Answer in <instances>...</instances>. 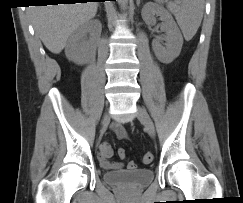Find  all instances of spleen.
Returning a JSON list of instances; mask_svg holds the SVG:
<instances>
[{
    "label": "spleen",
    "instance_id": "spleen-1",
    "mask_svg": "<svg viewBox=\"0 0 243 203\" xmlns=\"http://www.w3.org/2000/svg\"><path fill=\"white\" fill-rule=\"evenodd\" d=\"M156 1L163 3L164 0ZM167 8L175 16L184 38L191 40L203 18L204 0H176L169 2Z\"/></svg>",
    "mask_w": 243,
    "mask_h": 203
}]
</instances>
